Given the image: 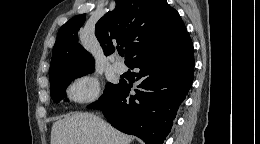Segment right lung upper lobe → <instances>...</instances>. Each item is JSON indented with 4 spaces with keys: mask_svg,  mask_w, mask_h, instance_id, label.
Masks as SVG:
<instances>
[{
    "mask_svg": "<svg viewBox=\"0 0 260 144\" xmlns=\"http://www.w3.org/2000/svg\"><path fill=\"white\" fill-rule=\"evenodd\" d=\"M85 14L77 15L59 30L49 76L72 69L94 67L93 57L78 43ZM187 33L178 12L166 0H116V7L96 23L95 35L109 55L125 48V61L180 40Z\"/></svg>",
    "mask_w": 260,
    "mask_h": 144,
    "instance_id": "obj_1",
    "label": "right lung upper lobe"
}]
</instances>
